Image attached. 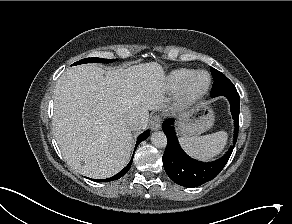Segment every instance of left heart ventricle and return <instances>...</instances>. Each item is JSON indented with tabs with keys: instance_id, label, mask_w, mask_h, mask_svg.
Segmentation results:
<instances>
[{
	"instance_id": "obj_1",
	"label": "left heart ventricle",
	"mask_w": 292,
	"mask_h": 224,
	"mask_svg": "<svg viewBox=\"0 0 292 224\" xmlns=\"http://www.w3.org/2000/svg\"><path fill=\"white\" fill-rule=\"evenodd\" d=\"M208 83V76L205 73H202L196 77L193 83V88L195 90L203 89Z\"/></svg>"
}]
</instances>
